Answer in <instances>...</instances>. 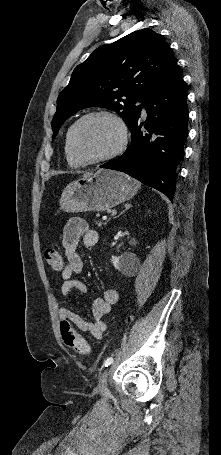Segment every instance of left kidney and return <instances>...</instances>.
I'll use <instances>...</instances> for the list:
<instances>
[{
	"label": "left kidney",
	"instance_id": "left-kidney-1",
	"mask_svg": "<svg viewBox=\"0 0 221 455\" xmlns=\"http://www.w3.org/2000/svg\"><path fill=\"white\" fill-rule=\"evenodd\" d=\"M111 262L115 269L120 271H127L135 265L137 262V256L131 252H125L120 256H114L111 259Z\"/></svg>",
	"mask_w": 221,
	"mask_h": 455
}]
</instances>
